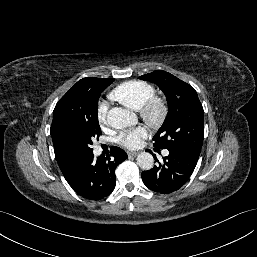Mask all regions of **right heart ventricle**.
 <instances>
[{"instance_id": "right-heart-ventricle-1", "label": "right heart ventricle", "mask_w": 257, "mask_h": 257, "mask_svg": "<svg viewBox=\"0 0 257 257\" xmlns=\"http://www.w3.org/2000/svg\"><path fill=\"white\" fill-rule=\"evenodd\" d=\"M154 94L155 89L150 83L131 80L115 87L109 93V97L130 109L140 110L143 104Z\"/></svg>"}]
</instances>
